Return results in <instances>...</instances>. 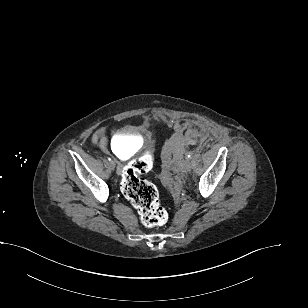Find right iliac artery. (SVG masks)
Returning <instances> with one entry per match:
<instances>
[{
	"label": "right iliac artery",
	"instance_id": "82829eb1",
	"mask_svg": "<svg viewBox=\"0 0 308 308\" xmlns=\"http://www.w3.org/2000/svg\"><path fill=\"white\" fill-rule=\"evenodd\" d=\"M108 160L111 161V158L109 157Z\"/></svg>",
	"mask_w": 308,
	"mask_h": 308
}]
</instances>
